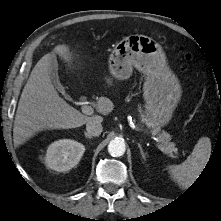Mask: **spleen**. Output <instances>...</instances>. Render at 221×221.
I'll use <instances>...</instances> for the list:
<instances>
[{
    "label": "spleen",
    "instance_id": "3e777b00",
    "mask_svg": "<svg viewBox=\"0 0 221 221\" xmlns=\"http://www.w3.org/2000/svg\"><path fill=\"white\" fill-rule=\"evenodd\" d=\"M211 155V142L208 137H201L191 155L180 165L169 167L172 177L186 188L199 176Z\"/></svg>",
    "mask_w": 221,
    "mask_h": 221
}]
</instances>
